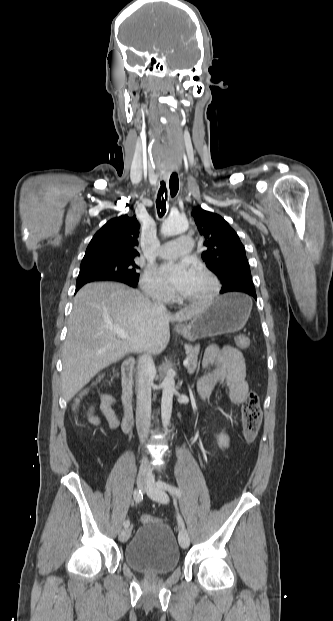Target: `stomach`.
<instances>
[{
	"label": "stomach",
	"mask_w": 333,
	"mask_h": 621,
	"mask_svg": "<svg viewBox=\"0 0 333 621\" xmlns=\"http://www.w3.org/2000/svg\"><path fill=\"white\" fill-rule=\"evenodd\" d=\"M252 308L248 296L229 293L208 302L191 320L189 341L230 333L243 328Z\"/></svg>",
	"instance_id": "0dacf381"
}]
</instances>
